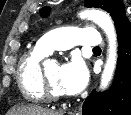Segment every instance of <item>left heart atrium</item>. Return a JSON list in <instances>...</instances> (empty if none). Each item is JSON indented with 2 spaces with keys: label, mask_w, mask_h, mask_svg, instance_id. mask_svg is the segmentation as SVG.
I'll return each instance as SVG.
<instances>
[{
  "label": "left heart atrium",
  "mask_w": 131,
  "mask_h": 115,
  "mask_svg": "<svg viewBox=\"0 0 131 115\" xmlns=\"http://www.w3.org/2000/svg\"><path fill=\"white\" fill-rule=\"evenodd\" d=\"M87 71L84 64L74 59L63 65L58 74V88L66 95L80 92L86 85Z\"/></svg>",
  "instance_id": "left-heart-atrium-1"
}]
</instances>
